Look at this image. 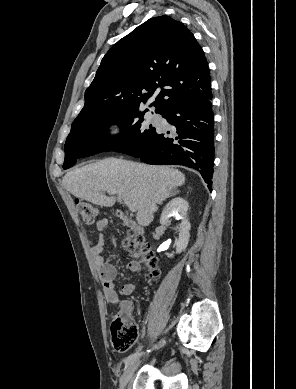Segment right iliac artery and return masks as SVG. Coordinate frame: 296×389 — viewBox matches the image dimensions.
<instances>
[{
  "instance_id": "right-iliac-artery-1",
  "label": "right iliac artery",
  "mask_w": 296,
  "mask_h": 389,
  "mask_svg": "<svg viewBox=\"0 0 296 389\" xmlns=\"http://www.w3.org/2000/svg\"><path fill=\"white\" fill-rule=\"evenodd\" d=\"M141 354L136 352V353H133L131 355H129L126 359H125V365L126 367L130 364H132Z\"/></svg>"
}]
</instances>
